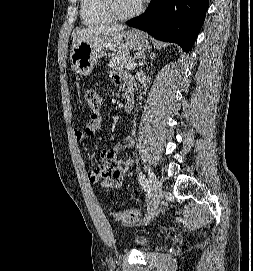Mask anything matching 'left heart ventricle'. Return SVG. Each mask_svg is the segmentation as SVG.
<instances>
[{
    "mask_svg": "<svg viewBox=\"0 0 253 271\" xmlns=\"http://www.w3.org/2000/svg\"><path fill=\"white\" fill-rule=\"evenodd\" d=\"M121 13H128L139 6L142 0H116Z\"/></svg>",
    "mask_w": 253,
    "mask_h": 271,
    "instance_id": "1",
    "label": "left heart ventricle"
}]
</instances>
